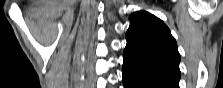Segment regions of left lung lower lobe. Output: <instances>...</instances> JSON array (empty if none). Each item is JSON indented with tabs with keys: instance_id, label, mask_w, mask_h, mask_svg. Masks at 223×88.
<instances>
[{
	"instance_id": "left-lung-lower-lobe-1",
	"label": "left lung lower lobe",
	"mask_w": 223,
	"mask_h": 88,
	"mask_svg": "<svg viewBox=\"0 0 223 88\" xmlns=\"http://www.w3.org/2000/svg\"><path fill=\"white\" fill-rule=\"evenodd\" d=\"M124 88H179L178 82L123 65Z\"/></svg>"
}]
</instances>
